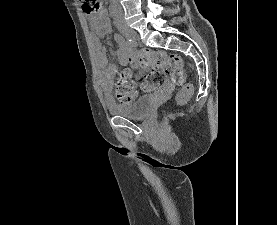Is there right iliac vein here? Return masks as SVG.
I'll return each mask as SVG.
<instances>
[{
  "label": "right iliac vein",
  "mask_w": 277,
  "mask_h": 225,
  "mask_svg": "<svg viewBox=\"0 0 277 225\" xmlns=\"http://www.w3.org/2000/svg\"><path fill=\"white\" fill-rule=\"evenodd\" d=\"M120 32L123 34V36H125L126 38L132 39V40H137L138 39V35L137 33L130 29V28H121Z\"/></svg>",
  "instance_id": "63e3f726"
}]
</instances>
